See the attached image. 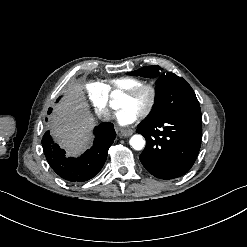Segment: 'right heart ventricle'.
Wrapping results in <instances>:
<instances>
[{"label":"right heart ventricle","mask_w":247,"mask_h":247,"mask_svg":"<svg viewBox=\"0 0 247 247\" xmlns=\"http://www.w3.org/2000/svg\"><path fill=\"white\" fill-rule=\"evenodd\" d=\"M115 87L119 91L130 92L142 85V82L134 78H121L114 82Z\"/></svg>","instance_id":"right-heart-ventricle-1"}]
</instances>
